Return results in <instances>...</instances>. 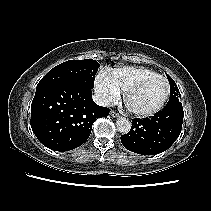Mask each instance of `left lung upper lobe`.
I'll list each match as a JSON object with an SVG mask.
<instances>
[{"label":"left lung upper lobe","mask_w":211,"mask_h":211,"mask_svg":"<svg viewBox=\"0 0 211 211\" xmlns=\"http://www.w3.org/2000/svg\"><path fill=\"white\" fill-rule=\"evenodd\" d=\"M166 75H167V78L170 83V99L167 104L180 102L181 95H180V92L178 90L176 83L168 74H166Z\"/></svg>","instance_id":"1"}]
</instances>
